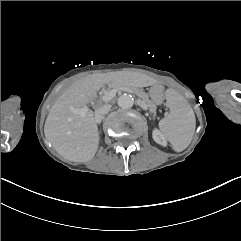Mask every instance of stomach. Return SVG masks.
Returning <instances> with one entry per match:
<instances>
[{
    "instance_id": "1",
    "label": "stomach",
    "mask_w": 241,
    "mask_h": 241,
    "mask_svg": "<svg viewBox=\"0 0 241 241\" xmlns=\"http://www.w3.org/2000/svg\"><path fill=\"white\" fill-rule=\"evenodd\" d=\"M164 95V86L161 84L152 86L149 90V96L154 104H162L164 101Z\"/></svg>"
}]
</instances>
